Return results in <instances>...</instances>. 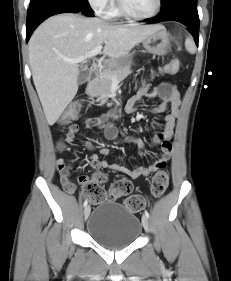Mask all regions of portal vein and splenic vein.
I'll use <instances>...</instances> for the list:
<instances>
[{
  "instance_id": "portal-vein-and-splenic-vein-1",
  "label": "portal vein and splenic vein",
  "mask_w": 231,
  "mask_h": 281,
  "mask_svg": "<svg viewBox=\"0 0 231 281\" xmlns=\"http://www.w3.org/2000/svg\"><path fill=\"white\" fill-rule=\"evenodd\" d=\"M102 50V45H99L98 47H96L95 49H93L92 51H90L89 53H87L86 55L84 56H80L76 59H69V60H66L70 63H80L82 61H84L85 59L89 58V57H93V56H96L97 54H99ZM114 82H115V79H113Z\"/></svg>"
}]
</instances>
